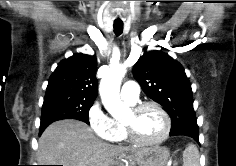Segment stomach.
<instances>
[{"label":"stomach","instance_id":"stomach-1","mask_svg":"<svg viewBox=\"0 0 236 166\" xmlns=\"http://www.w3.org/2000/svg\"><path fill=\"white\" fill-rule=\"evenodd\" d=\"M170 153L166 147H150L142 150L141 158L130 166H166ZM124 166V165H121Z\"/></svg>","mask_w":236,"mask_h":166}]
</instances>
